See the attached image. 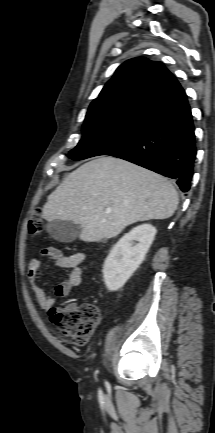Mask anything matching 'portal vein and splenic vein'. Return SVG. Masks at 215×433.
Listing matches in <instances>:
<instances>
[{
    "label": "portal vein and splenic vein",
    "mask_w": 215,
    "mask_h": 433,
    "mask_svg": "<svg viewBox=\"0 0 215 433\" xmlns=\"http://www.w3.org/2000/svg\"><path fill=\"white\" fill-rule=\"evenodd\" d=\"M106 213L107 214L111 213V210L110 209H106Z\"/></svg>",
    "instance_id": "obj_1"
}]
</instances>
